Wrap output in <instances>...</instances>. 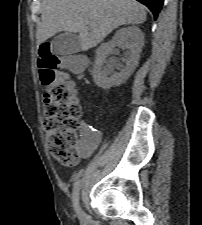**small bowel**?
I'll list each match as a JSON object with an SVG mask.
<instances>
[{"instance_id": "obj_1", "label": "small bowel", "mask_w": 202, "mask_h": 225, "mask_svg": "<svg viewBox=\"0 0 202 225\" xmlns=\"http://www.w3.org/2000/svg\"><path fill=\"white\" fill-rule=\"evenodd\" d=\"M84 61V66L87 64ZM83 134L79 140L78 153L81 158H89L104 143L103 136L100 132L92 130V126L88 121L81 122Z\"/></svg>"}]
</instances>
